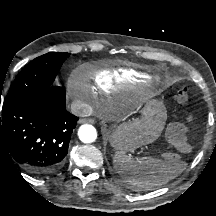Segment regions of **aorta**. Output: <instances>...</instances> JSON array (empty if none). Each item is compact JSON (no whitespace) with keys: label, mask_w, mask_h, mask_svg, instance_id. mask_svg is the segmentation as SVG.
Listing matches in <instances>:
<instances>
[{"label":"aorta","mask_w":216,"mask_h":216,"mask_svg":"<svg viewBox=\"0 0 216 216\" xmlns=\"http://www.w3.org/2000/svg\"><path fill=\"white\" fill-rule=\"evenodd\" d=\"M79 139L84 143H92L97 139V131L94 126L84 124L78 131Z\"/></svg>","instance_id":"762f6f07"}]
</instances>
